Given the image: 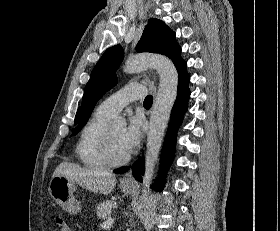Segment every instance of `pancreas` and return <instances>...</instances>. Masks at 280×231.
<instances>
[{"instance_id": "pancreas-1", "label": "pancreas", "mask_w": 280, "mask_h": 231, "mask_svg": "<svg viewBox=\"0 0 280 231\" xmlns=\"http://www.w3.org/2000/svg\"><path fill=\"white\" fill-rule=\"evenodd\" d=\"M112 207H117L116 201H101V203H98L96 207L98 217L107 219L108 215H111Z\"/></svg>"}]
</instances>
